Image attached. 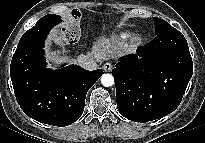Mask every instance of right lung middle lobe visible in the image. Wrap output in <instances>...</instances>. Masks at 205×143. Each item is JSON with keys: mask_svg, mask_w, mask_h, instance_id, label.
I'll use <instances>...</instances> for the list:
<instances>
[{"mask_svg": "<svg viewBox=\"0 0 205 143\" xmlns=\"http://www.w3.org/2000/svg\"><path fill=\"white\" fill-rule=\"evenodd\" d=\"M44 17H45V18L56 19L58 22L61 21V19H60V17H59L58 15H52V14H50V15H46V16H44Z\"/></svg>", "mask_w": 205, "mask_h": 143, "instance_id": "dd1d6c3e", "label": "right lung middle lobe"}]
</instances>
